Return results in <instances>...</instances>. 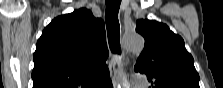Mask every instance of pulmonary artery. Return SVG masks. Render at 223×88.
Returning <instances> with one entry per match:
<instances>
[{"mask_svg": "<svg viewBox=\"0 0 223 88\" xmlns=\"http://www.w3.org/2000/svg\"><path fill=\"white\" fill-rule=\"evenodd\" d=\"M132 83L136 87H144L145 86V77L141 74H134L132 77Z\"/></svg>", "mask_w": 223, "mask_h": 88, "instance_id": "1", "label": "pulmonary artery"}]
</instances>
